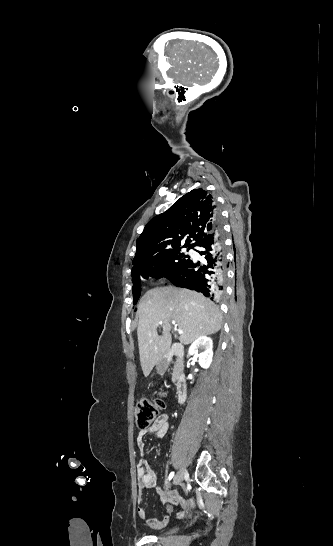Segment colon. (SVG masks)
I'll return each mask as SVG.
<instances>
[{"label":"colon","mask_w":333,"mask_h":546,"mask_svg":"<svg viewBox=\"0 0 333 546\" xmlns=\"http://www.w3.org/2000/svg\"><path fill=\"white\" fill-rule=\"evenodd\" d=\"M164 408V401L161 398L141 399L135 407V424L138 429L145 430L158 417Z\"/></svg>","instance_id":"5ec220e1"}]
</instances>
